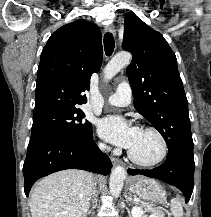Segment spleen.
<instances>
[{
	"label": "spleen",
	"instance_id": "3e777b00",
	"mask_svg": "<svg viewBox=\"0 0 211 217\" xmlns=\"http://www.w3.org/2000/svg\"><path fill=\"white\" fill-rule=\"evenodd\" d=\"M171 212L174 217H183V208L177 199L171 200Z\"/></svg>",
	"mask_w": 211,
	"mask_h": 217
}]
</instances>
